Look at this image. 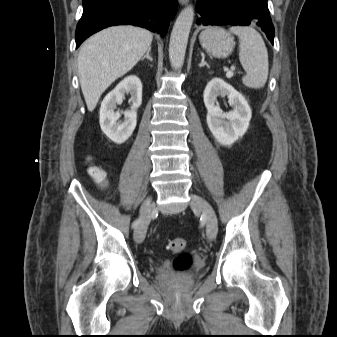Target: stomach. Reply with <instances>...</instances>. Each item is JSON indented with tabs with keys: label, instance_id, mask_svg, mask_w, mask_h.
<instances>
[{
	"label": "stomach",
	"instance_id": "0dacf381",
	"mask_svg": "<svg viewBox=\"0 0 337 337\" xmlns=\"http://www.w3.org/2000/svg\"><path fill=\"white\" fill-rule=\"evenodd\" d=\"M203 49L216 58L228 57L235 46L234 37L220 27H208L200 33Z\"/></svg>",
	"mask_w": 337,
	"mask_h": 337
}]
</instances>
